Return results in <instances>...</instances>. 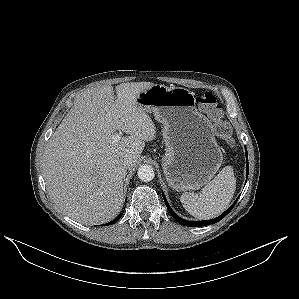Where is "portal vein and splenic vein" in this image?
<instances>
[{
	"label": "portal vein and splenic vein",
	"instance_id": "obj_1",
	"mask_svg": "<svg viewBox=\"0 0 299 299\" xmlns=\"http://www.w3.org/2000/svg\"><path fill=\"white\" fill-rule=\"evenodd\" d=\"M121 139V133H117L113 136V143L118 142Z\"/></svg>",
	"mask_w": 299,
	"mask_h": 299
}]
</instances>
